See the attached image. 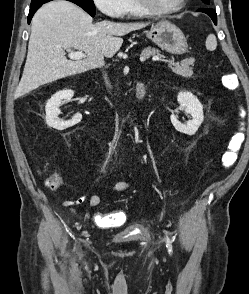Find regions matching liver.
<instances>
[{"instance_id": "1", "label": "liver", "mask_w": 249, "mask_h": 294, "mask_svg": "<svg viewBox=\"0 0 249 294\" xmlns=\"http://www.w3.org/2000/svg\"><path fill=\"white\" fill-rule=\"evenodd\" d=\"M148 23L93 24L92 18L77 5L52 1L34 15L27 59L15 97H21L41 85L101 66L120 49L121 36L142 29ZM74 48L85 58L68 60L65 50Z\"/></svg>"}]
</instances>
